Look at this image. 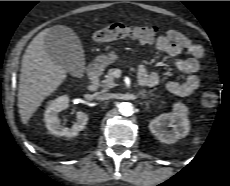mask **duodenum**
Returning a JSON list of instances; mask_svg holds the SVG:
<instances>
[{"mask_svg": "<svg viewBox=\"0 0 230 186\" xmlns=\"http://www.w3.org/2000/svg\"><path fill=\"white\" fill-rule=\"evenodd\" d=\"M103 72V68L101 66V64L99 63H95V64H91L88 67L87 73L89 76V83L87 85V89L90 92H95L98 87H99V80H100V76ZM141 85L145 86L143 83L140 82Z\"/></svg>", "mask_w": 230, "mask_h": 186, "instance_id": "duodenum-1", "label": "duodenum"}]
</instances>
